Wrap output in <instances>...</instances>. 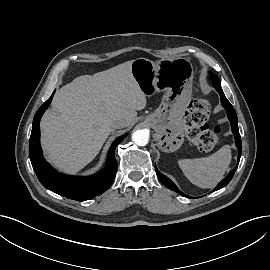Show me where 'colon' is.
I'll return each mask as SVG.
<instances>
[{
	"instance_id": "1",
	"label": "colon",
	"mask_w": 270,
	"mask_h": 270,
	"mask_svg": "<svg viewBox=\"0 0 270 270\" xmlns=\"http://www.w3.org/2000/svg\"><path fill=\"white\" fill-rule=\"evenodd\" d=\"M210 114V104L205 99L190 103L184 117V129L187 139L200 151L207 152L218 143L222 128L219 125L209 128L206 124Z\"/></svg>"
}]
</instances>
